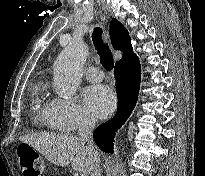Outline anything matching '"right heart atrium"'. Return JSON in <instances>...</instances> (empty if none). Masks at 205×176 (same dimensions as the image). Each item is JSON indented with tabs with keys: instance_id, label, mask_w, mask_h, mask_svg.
Here are the masks:
<instances>
[{
	"instance_id": "1",
	"label": "right heart atrium",
	"mask_w": 205,
	"mask_h": 176,
	"mask_svg": "<svg viewBox=\"0 0 205 176\" xmlns=\"http://www.w3.org/2000/svg\"><path fill=\"white\" fill-rule=\"evenodd\" d=\"M50 114L57 127L69 132L89 128L94 124L93 117L76 100L52 99Z\"/></svg>"
}]
</instances>
